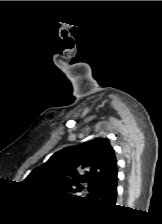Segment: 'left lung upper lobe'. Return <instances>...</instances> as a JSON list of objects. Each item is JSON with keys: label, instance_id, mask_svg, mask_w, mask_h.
Listing matches in <instances>:
<instances>
[{"label": "left lung upper lobe", "instance_id": "5c2ea615", "mask_svg": "<svg viewBox=\"0 0 162 224\" xmlns=\"http://www.w3.org/2000/svg\"><path fill=\"white\" fill-rule=\"evenodd\" d=\"M114 150L108 139L91 141L64 148L34 169L24 183L56 193L72 196L88 184L91 194L117 171Z\"/></svg>", "mask_w": 162, "mask_h": 224}]
</instances>
